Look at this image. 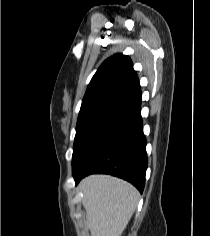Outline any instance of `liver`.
<instances>
[{
  "label": "liver",
  "instance_id": "6515ba94",
  "mask_svg": "<svg viewBox=\"0 0 210 236\" xmlns=\"http://www.w3.org/2000/svg\"><path fill=\"white\" fill-rule=\"evenodd\" d=\"M91 236H121L139 200L137 189L110 175H90L80 185Z\"/></svg>",
  "mask_w": 210,
  "mask_h": 236
}]
</instances>
